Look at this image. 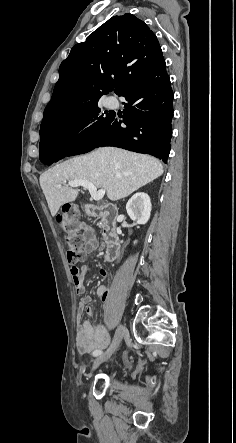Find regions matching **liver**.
<instances>
[{
  "label": "liver",
  "instance_id": "6515ba94",
  "mask_svg": "<svg viewBox=\"0 0 236 443\" xmlns=\"http://www.w3.org/2000/svg\"><path fill=\"white\" fill-rule=\"evenodd\" d=\"M163 174L162 163L149 155L102 147L77 156L47 170L40 176V186L51 215L78 197V190L61 186L66 181L85 180L105 189L107 197L116 201L125 198Z\"/></svg>",
  "mask_w": 236,
  "mask_h": 443
}]
</instances>
